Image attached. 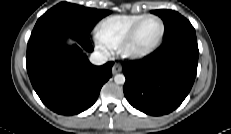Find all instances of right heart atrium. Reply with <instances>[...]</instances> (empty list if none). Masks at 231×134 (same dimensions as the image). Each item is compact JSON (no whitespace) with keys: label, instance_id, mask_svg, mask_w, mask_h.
I'll return each instance as SVG.
<instances>
[{"label":"right heart atrium","instance_id":"right-heart-atrium-1","mask_svg":"<svg viewBox=\"0 0 231 134\" xmlns=\"http://www.w3.org/2000/svg\"><path fill=\"white\" fill-rule=\"evenodd\" d=\"M97 47L102 50L103 52L107 53L108 52V49L106 46H104L101 42H98L97 43Z\"/></svg>","mask_w":231,"mask_h":134}]
</instances>
